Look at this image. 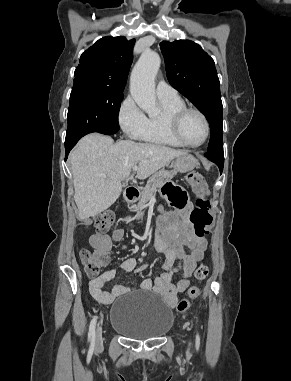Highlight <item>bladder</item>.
I'll return each mask as SVG.
<instances>
[{
    "instance_id": "1",
    "label": "bladder",
    "mask_w": 291,
    "mask_h": 381,
    "mask_svg": "<svg viewBox=\"0 0 291 381\" xmlns=\"http://www.w3.org/2000/svg\"><path fill=\"white\" fill-rule=\"evenodd\" d=\"M173 324V310L155 296L140 297L129 293L111 305V328L131 339L160 338Z\"/></svg>"
}]
</instances>
